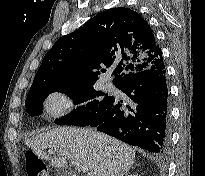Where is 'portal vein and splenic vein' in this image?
<instances>
[{
	"instance_id": "portal-vein-and-splenic-vein-1",
	"label": "portal vein and splenic vein",
	"mask_w": 205,
	"mask_h": 176,
	"mask_svg": "<svg viewBox=\"0 0 205 176\" xmlns=\"http://www.w3.org/2000/svg\"><path fill=\"white\" fill-rule=\"evenodd\" d=\"M52 153H54L52 150H51ZM70 164L74 167H76L78 170L82 171L83 173H87L88 172V168L82 164H80L79 162H76V161H71Z\"/></svg>"
}]
</instances>
